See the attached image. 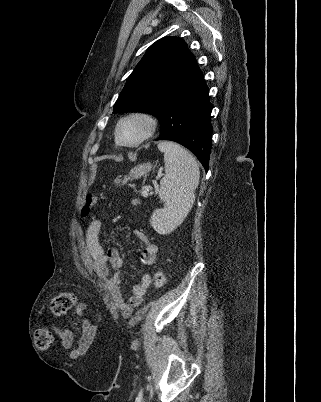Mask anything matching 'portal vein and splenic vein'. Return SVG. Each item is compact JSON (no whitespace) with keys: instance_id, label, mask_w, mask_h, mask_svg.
Wrapping results in <instances>:
<instances>
[{"instance_id":"1","label":"portal vein and splenic vein","mask_w":321,"mask_h":402,"mask_svg":"<svg viewBox=\"0 0 321 402\" xmlns=\"http://www.w3.org/2000/svg\"><path fill=\"white\" fill-rule=\"evenodd\" d=\"M160 176H161V174H158V177H160ZM149 191H150V188L147 187V188H145V189H143V190L141 191V195H142L143 197H147V196L149 195Z\"/></svg>"}]
</instances>
